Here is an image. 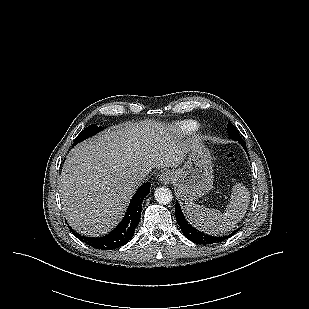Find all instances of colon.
Listing matches in <instances>:
<instances>
[{"label":"colon","mask_w":309,"mask_h":309,"mask_svg":"<svg viewBox=\"0 0 309 309\" xmlns=\"http://www.w3.org/2000/svg\"><path fill=\"white\" fill-rule=\"evenodd\" d=\"M226 158L229 161V163H231V164H233L235 162V155L231 151L227 152Z\"/></svg>","instance_id":"1"}]
</instances>
